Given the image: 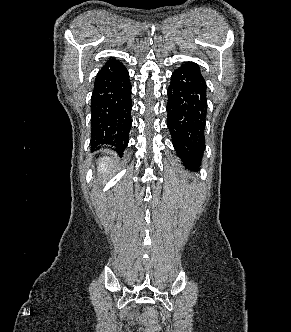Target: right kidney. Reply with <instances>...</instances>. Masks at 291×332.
I'll use <instances>...</instances> for the list:
<instances>
[{
  "label": "right kidney",
  "instance_id": "right-kidney-1",
  "mask_svg": "<svg viewBox=\"0 0 291 332\" xmlns=\"http://www.w3.org/2000/svg\"><path fill=\"white\" fill-rule=\"evenodd\" d=\"M104 160V162H103ZM102 160V163L100 162L99 163V171H102V172H106V168H105V159ZM107 161H109V159H107Z\"/></svg>",
  "mask_w": 291,
  "mask_h": 332
}]
</instances>
